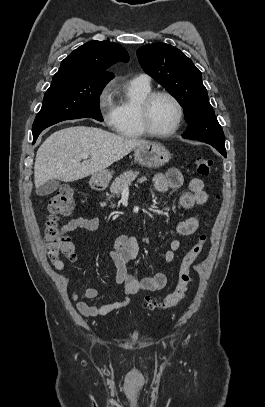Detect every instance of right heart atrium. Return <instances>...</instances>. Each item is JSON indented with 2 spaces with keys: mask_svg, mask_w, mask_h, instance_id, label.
Instances as JSON below:
<instances>
[{
  "mask_svg": "<svg viewBox=\"0 0 265 407\" xmlns=\"http://www.w3.org/2000/svg\"><path fill=\"white\" fill-rule=\"evenodd\" d=\"M97 106L104 123L112 127L115 122V104L112 97V87L105 85L97 94Z\"/></svg>",
  "mask_w": 265,
  "mask_h": 407,
  "instance_id": "d8ad5b80",
  "label": "right heart atrium"
}]
</instances>
